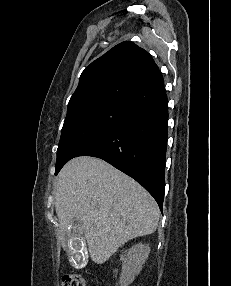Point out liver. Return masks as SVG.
Here are the masks:
<instances>
[{
	"label": "liver",
	"instance_id": "liver-1",
	"mask_svg": "<svg viewBox=\"0 0 231 286\" xmlns=\"http://www.w3.org/2000/svg\"><path fill=\"white\" fill-rule=\"evenodd\" d=\"M55 209L62 247L73 218L95 263L107 261L127 241L153 233L160 210L134 179L95 157H77L61 169L55 184Z\"/></svg>",
	"mask_w": 231,
	"mask_h": 286
}]
</instances>
